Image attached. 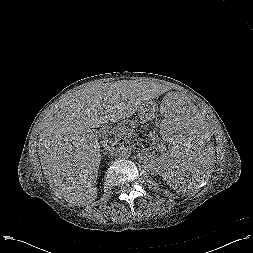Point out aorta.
<instances>
[{"label": "aorta", "instance_id": "1", "mask_svg": "<svg viewBox=\"0 0 253 253\" xmlns=\"http://www.w3.org/2000/svg\"><path fill=\"white\" fill-rule=\"evenodd\" d=\"M131 154V149L128 146H121L118 155L122 158H128Z\"/></svg>", "mask_w": 253, "mask_h": 253}]
</instances>
